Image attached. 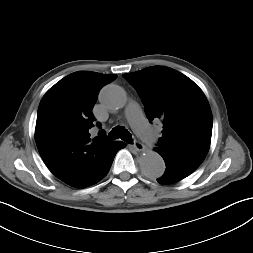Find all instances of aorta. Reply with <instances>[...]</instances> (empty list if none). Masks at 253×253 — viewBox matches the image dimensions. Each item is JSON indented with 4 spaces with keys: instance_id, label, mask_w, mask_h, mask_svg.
Here are the masks:
<instances>
[{
    "instance_id": "762f6f07",
    "label": "aorta",
    "mask_w": 253,
    "mask_h": 253,
    "mask_svg": "<svg viewBox=\"0 0 253 253\" xmlns=\"http://www.w3.org/2000/svg\"><path fill=\"white\" fill-rule=\"evenodd\" d=\"M102 106L109 111L122 109L127 103V95L123 88L111 84L105 86L99 95ZM142 172L151 178H157L164 174L165 163L160 154L155 151H147L139 158Z\"/></svg>"
}]
</instances>
